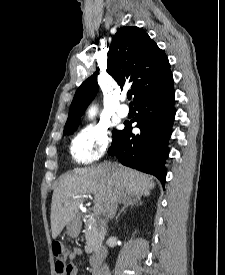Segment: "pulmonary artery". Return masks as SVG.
Segmentation results:
<instances>
[{"mask_svg":"<svg viewBox=\"0 0 225 275\" xmlns=\"http://www.w3.org/2000/svg\"><path fill=\"white\" fill-rule=\"evenodd\" d=\"M117 113H118V115L121 116V117H126V116L128 115V113H129V108H128L126 105L122 104V105L119 107Z\"/></svg>","mask_w":225,"mask_h":275,"instance_id":"pulmonary-artery-1","label":"pulmonary artery"}]
</instances>
